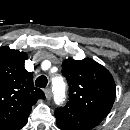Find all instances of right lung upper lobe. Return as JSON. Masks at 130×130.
I'll list each match as a JSON object with an SVG mask.
<instances>
[{
  "instance_id": "right-lung-upper-lobe-1",
  "label": "right lung upper lobe",
  "mask_w": 130,
  "mask_h": 130,
  "mask_svg": "<svg viewBox=\"0 0 130 130\" xmlns=\"http://www.w3.org/2000/svg\"><path fill=\"white\" fill-rule=\"evenodd\" d=\"M25 52L0 48V130H19L26 125L32 106L44 99L33 86V75L24 68Z\"/></svg>"
}]
</instances>
